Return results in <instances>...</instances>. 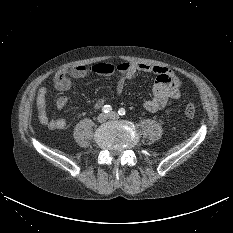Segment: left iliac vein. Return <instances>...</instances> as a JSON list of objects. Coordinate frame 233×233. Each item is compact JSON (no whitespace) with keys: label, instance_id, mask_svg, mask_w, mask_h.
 I'll list each match as a JSON object with an SVG mask.
<instances>
[{"label":"left iliac vein","instance_id":"1","mask_svg":"<svg viewBox=\"0 0 233 233\" xmlns=\"http://www.w3.org/2000/svg\"><path fill=\"white\" fill-rule=\"evenodd\" d=\"M109 119H118L119 115L116 112H110L108 115Z\"/></svg>","mask_w":233,"mask_h":233}]
</instances>
